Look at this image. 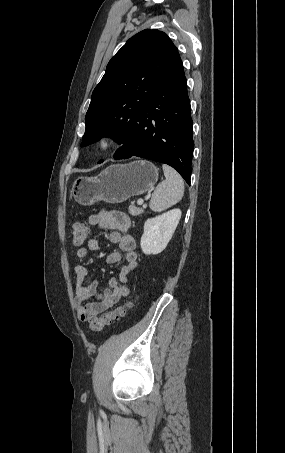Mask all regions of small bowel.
I'll return each instance as SVG.
<instances>
[{"instance_id":"small-bowel-1","label":"small bowel","mask_w":285,"mask_h":453,"mask_svg":"<svg viewBox=\"0 0 285 453\" xmlns=\"http://www.w3.org/2000/svg\"><path fill=\"white\" fill-rule=\"evenodd\" d=\"M89 224L101 229L108 230L109 240L119 247V251L110 252L107 255V262L115 264L123 261L118 277H111L108 287L98 294L96 291L97 281L90 279L88 270L83 265H76L74 273L76 277L75 309L78 319L87 321L92 317L105 312L123 297L128 296L130 290L127 286L129 276L135 273L138 267L136 252V240L130 233V218L121 211H102L89 217ZM99 241L90 238L87 245L78 250L79 258H85L90 252L99 249ZM96 298L93 301L90 299Z\"/></svg>"}]
</instances>
